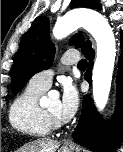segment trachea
Here are the masks:
<instances>
[{"label":"trachea","instance_id":"3493384b","mask_svg":"<svg viewBox=\"0 0 123 152\" xmlns=\"http://www.w3.org/2000/svg\"><path fill=\"white\" fill-rule=\"evenodd\" d=\"M86 65H87V61L86 60H84V59H82V60H80L79 61V63H78V68H86Z\"/></svg>","mask_w":123,"mask_h":152}]
</instances>
